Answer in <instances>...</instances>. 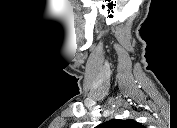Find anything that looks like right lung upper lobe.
<instances>
[{
	"label": "right lung upper lobe",
	"mask_w": 177,
	"mask_h": 128,
	"mask_svg": "<svg viewBox=\"0 0 177 128\" xmlns=\"http://www.w3.org/2000/svg\"><path fill=\"white\" fill-rule=\"evenodd\" d=\"M98 127L100 128H143L144 126L134 121L133 119H128V120L112 119L100 124Z\"/></svg>",
	"instance_id": "right-lung-upper-lobe-1"
}]
</instances>
